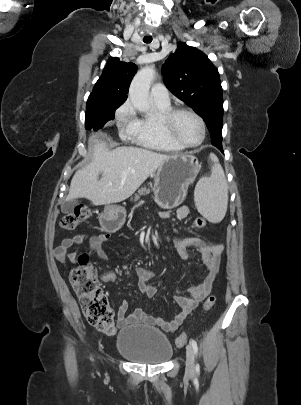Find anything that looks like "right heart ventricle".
Returning <instances> with one entry per match:
<instances>
[{
    "label": "right heart ventricle",
    "instance_id": "e07e8e85",
    "mask_svg": "<svg viewBox=\"0 0 301 405\" xmlns=\"http://www.w3.org/2000/svg\"><path fill=\"white\" fill-rule=\"evenodd\" d=\"M155 104V103H154ZM158 114L155 117L136 118V121L127 132V136L136 144L147 149L160 152L175 153L183 150L182 147L166 137L160 129L159 117L169 111L170 106L155 104Z\"/></svg>",
    "mask_w": 301,
    "mask_h": 405
}]
</instances>
